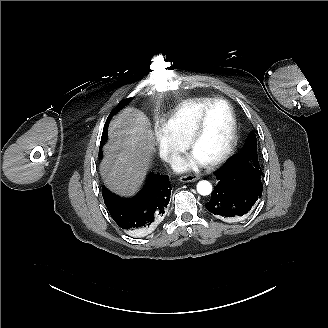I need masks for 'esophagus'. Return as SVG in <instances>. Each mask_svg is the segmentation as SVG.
I'll return each mask as SVG.
<instances>
[{
	"label": "esophagus",
	"mask_w": 328,
	"mask_h": 328,
	"mask_svg": "<svg viewBox=\"0 0 328 328\" xmlns=\"http://www.w3.org/2000/svg\"><path fill=\"white\" fill-rule=\"evenodd\" d=\"M198 179H199L198 176L189 174V175H185V176L180 177L179 181L184 182V183H188V182H194Z\"/></svg>",
	"instance_id": "34e87169"
}]
</instances>
